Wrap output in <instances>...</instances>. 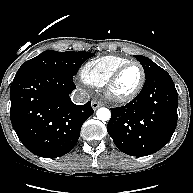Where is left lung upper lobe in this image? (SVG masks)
Segmentation results:
<instances>
[{
  "instance_id": "1",
  "label": "left lung upper lobe",
  "mask_w": 193,
  "mask_h": 193,
  "mask_svg": "<svg viewBox=\"0 0 193 193\" xmlns=\"http://www.w3.org/2000/svg\"><path fill=\"white\" fill-rule=\"evenodd\" d=\"M135 57L142 64L144 72H145V77L149 76L156 69L159 68V66L156 63H154L147 57L140 56V55H135Z\"/></svg>"
}]
</instances>
